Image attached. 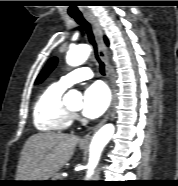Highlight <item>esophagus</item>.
I'll return each mask as SVG.
<instances>
[{"mask_svg": "<svg viewBox=\"0 0 178 186\" xmlns=\"http://www.w3.org/2000/svg\"><path fill=\"white\" fill-rule=\"evenodd\" d=\"M85 18L90 22V24L93 27V31L95 34L96 42H97V47H98V54L100 59L104 62L105 64V69H106V74L109 78V84L111 87L112 91V97L114 96V91L112 87V82H111V74H110V68L108 64V57L106 54V47L103 39V29L98 21V19L94 15H86ZM111 109H112V104L110 105L105 117L89 132L87 133L80 141L81 144H87L90 142L94 134L98 131V129L108 120L110 114H111Z\"/></svg>", "mask_w": 178, "mask_h": 186, "instance_id": "34e87169", "label": "esophagus"}]
</instances>
